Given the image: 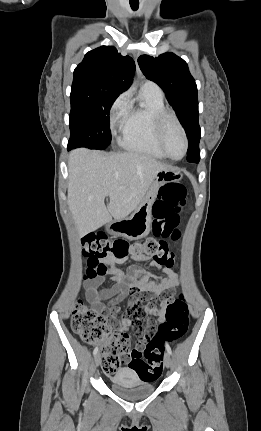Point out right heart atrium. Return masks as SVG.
Returning <instances> with one entry per match:
<instances>
[{
	"label": "right heart atrium",
	"instance_id": "right-heart-atrium-1",
	"mask_svg": "<svg viewBox=\"0 0 261 431\" xmlns=\"http://www.w3.org/2000/svg\"><path fill=\"white\" fill-rule=\"evenodd\" d=\"M129 109V93L124 92L113 102L110 108V125L112 130L122 128Z\"/></svg>",
	"mask_w": 261,
	"mask_h": 431
}]
</instances>
